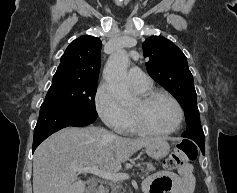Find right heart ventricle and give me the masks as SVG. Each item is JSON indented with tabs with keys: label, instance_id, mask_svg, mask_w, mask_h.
I'll use <instances>...</instances> for the list:
<instances>
[{
	"label": "right heart ventricle",
	"instance_id": "right-heart-ventricle-1",
	"mask_svg": "<svg viewBox=\"0 0 237 193\" xmlns=\"http://www.w3.org/2000/svg\"><path fill=\"white\" fill-rule=\"evenodd\" d=\"M149 89H150V88H147V89H144V90H137V92L140 93V94H144V93L148 92ZM127 116H128V118H127V123H126V127H125V129H124L123 132L134 133V132H136V131L133 129V127H132V125H131L130 116H129V113H128V112H127Z\"/></svg>",
	"mask_w": 237,
	"mask_h": 193
}]
</instances>
